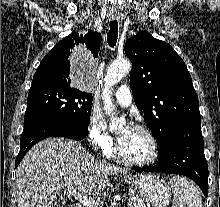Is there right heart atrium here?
I'll list each match as a JSON object with an SVG mask.
<instances>
[{
  "mask_svg": "<svg viewBox=\"0 0 220 207\" xmlns=\"http://www.w3.org/2000/svg\"><path fill=\"white\" fill-rule=\"evenodd\" d=\"M88 138L92 147L106 154L113 148V139L107 132L102 117L97 112H92L88 121Z\"/></svg>",
  "mask_w": 220,
  "mask_h": 207,
  "instance_id": "d8ad5b80",
  "label": "right heart atrium"
}]
</instances>
